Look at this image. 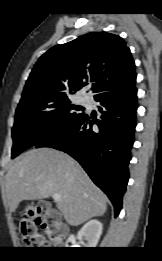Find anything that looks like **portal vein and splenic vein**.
<instances>
[{
    "instance_id": "portal-vein-and-splenic-vein-1",
    "label": "portal vein and splenic vein",
    "mask_w": 162,
    "mask_h": 261,
    "mask_svg": "<svg viewBox=\"0 0 162 261\" xmlns=\"http://www.w3.org/2000/svg\"><path fill=\"white\" fill-rule=\"evenodd\" d=\"M52 197H53V199H54L55 201L61 200V196H60V194H58V193H53V194H52Z\"/></svg>"
}]
</instances>
